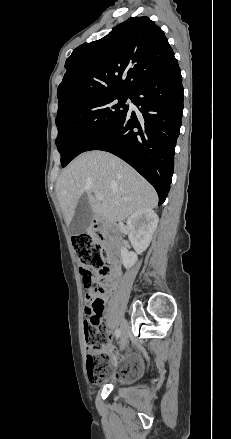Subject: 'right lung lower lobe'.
Returning <instances> with one entry per match:
<instances>
[{
    "mask_svg": "<svg viewBox=\"0 0 231 439\" xmlns=\"http://www.w3.org/2000/svg\"><path fill=\"white\" fill-rule=\"evenodd\" d=\"M129 110L84 150L108 151L130 164L156 189L161 205L170 190L176 139L183 113L181 71L174 58L161 72L139 85Z\"/></svg>",
    "mask_w": 231,
    "mask_h": 439,
    "instance_id": "right-lung-lower-lobe-1",
    "label": "right lung lower lobe"
}]
</instances>
